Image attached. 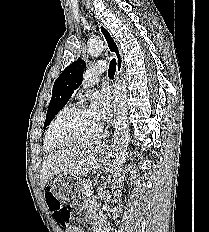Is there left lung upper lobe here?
Here are the masks:
<instances>
[{"mask_svg": "<svg viewBox=\"0 0 209 232\" xmlns=\"http://www.w3.org/2000/svg\"><path fill=\"white\" fill-rule=\"evenodd\" d=\"M85 69V61L78 59L66 67L57 78L53 86L52 98L48 106L44 128L48 126L57 112L66 105L74 90L81 85Z\"/></svg>", "mask_w": 209, "mask_h": 232, "instance_id": "5c2ea615", "label": "left lung upper lobe"}]
</instances>
